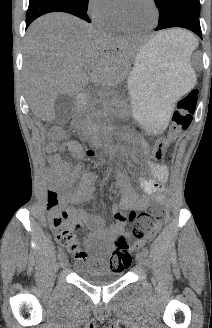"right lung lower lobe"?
Masks as SVG:
<instances>
[{"mask_svg":"<svg viewBox=\"0 0 212 328\" xmlns=\"http://www.w3.org/2000/svg\"><path fill=\"white\" fill-rule=\"evenodd\" d=\"M49 12H66L73 14L87 22H90L83 6L73 0H29L26 16V28L30 23L41 15Z\"/></svg>","mask_w":212,"mask_h":328,"instance_id":"right-lung-lower-lobe-1","label":"right lung lower lobe"}]
</instances>
